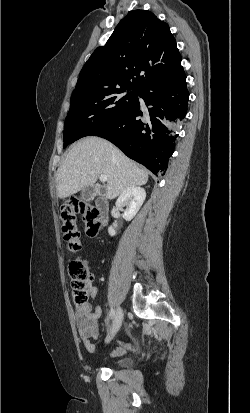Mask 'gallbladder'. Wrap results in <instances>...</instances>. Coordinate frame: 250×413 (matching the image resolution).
I'll list each match as a JSON object with an SVG mask.
<instances>
[{"instance_id": "gallbladder-1", "label": "gallbladder", "mask_w": 250, "mask_h": 413, "mask_svg": "<svg viewBox=\"0 0 250 413\" xmlns=\"http://www.w3.org/2000/svg\"><path fill=\"white\" fill-rule=\"evenodd\" d=\"M104 193V189L101 190ZM95 196V188L93 186H89L82 190L81 197L85 201H91Z\"/></svg>"}]
</instances>
